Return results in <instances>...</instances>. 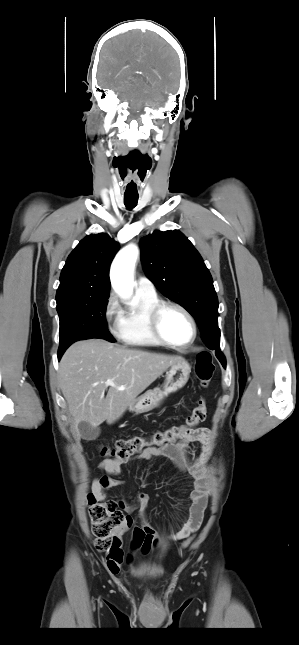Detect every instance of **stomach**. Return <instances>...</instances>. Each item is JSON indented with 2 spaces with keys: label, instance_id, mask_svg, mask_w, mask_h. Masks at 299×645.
I'll return each instance as SVG.
<instances>
[{
  "label": "stomach",
  "instance_id": "0dacf381",
  "mask_svg": "<svg viewBox=\"0 0 299 645\" xmlns=\"http://www.w3.org/2000/svg\"><path fill=\"white\" fill-rule=\"evenodd\" d=\"M190 372L191 367L184 359L173 364L166 373V379L162 389L154 388L153 390H148L129 406V411L140 414L155 409L170 393H174L185 386Z\"/></svg>",
  "mask_w": 299,
  "mask_h": 645
}]
</instances>
